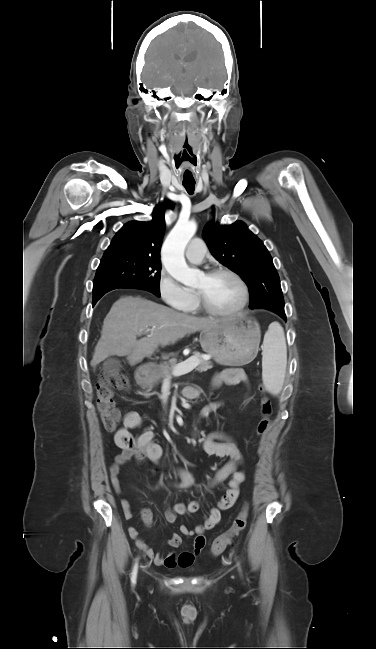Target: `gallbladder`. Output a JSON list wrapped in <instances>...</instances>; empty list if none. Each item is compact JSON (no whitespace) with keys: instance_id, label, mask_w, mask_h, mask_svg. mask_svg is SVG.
<instances>
[{"instance_id":"bac80fb5","label":"gallbladder","mask_w":376,"mask_h":649,"mask_svg":"<svg viewBox=\"0 0 376 649\" xmlns=\"http://www.w3.org/2000/svg\"><path fill=\"white\" fill-rule=\"evenodd\" d=\"M121 368L120 361L115 358L107 359L103 364V370L110 375H114Z\"/></svg>"}]
</instances>
